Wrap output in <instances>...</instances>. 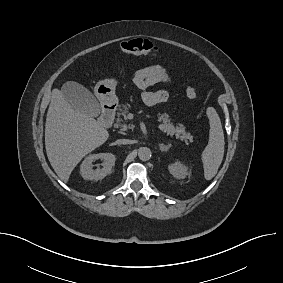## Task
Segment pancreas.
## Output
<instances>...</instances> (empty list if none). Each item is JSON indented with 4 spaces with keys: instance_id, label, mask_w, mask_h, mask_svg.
Instances as JSON below:
<instances>
[{
    "instance_id": "cf45deb5",
    "label": "pancreas",
    "mask_w": 283,
    "mask_h": 283,
    "mask_svg": "<svg viewBox=\"0 0 283 283\" xmlns=\"http://www.w3.org/2000/svg\"><path fill=\"white\" fill-rule=\"evenodd\" d=\"M127 113H128V108L126 105H123L118 112V118L116 120V127H121L122 130H127L130 128L128 125H126L127 121ZM158 121L161 123L159 125V129L167 133L170 136L175 135L176 138H179L180 140H183L185 142H190L193 141V136H191L190 133H187L185 131V127L182 124H177L176 126L171 122V119L169 118V115L167 113L163 114H158Z\"/></svg>"
}]
</instances>
